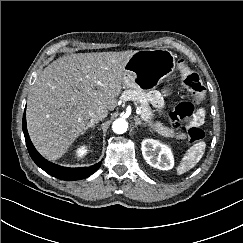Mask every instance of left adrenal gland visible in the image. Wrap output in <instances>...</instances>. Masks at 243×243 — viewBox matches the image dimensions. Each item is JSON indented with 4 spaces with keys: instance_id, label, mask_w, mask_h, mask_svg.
<instances>
[{
    "instance_id": "obj_1",
    "label": "left adrenal gland",
    "mask_w": 243,
    "mask_h": 243,
    "mask_svg": "<svg viewBox=\"0 0 243 243\" xmlns=\"http://www.w3.org/2000/svg\"><path fill=\"white\" fill-rule=\"evenodd\" d=\"M134 121H135V127H137L138 125L146 126L144 123H142L141 119L138 116L134 117Z\"/></svg>"
}]
</instances>
